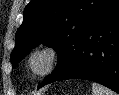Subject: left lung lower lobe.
I'll return each mask as SVG.
<instances>
[{"label":"left lung lower lobe","mask_w":119,"mask_h":95,"mask_svg":"<svg viewBox=\"0 0 119 95\" xmlns=\"http://www.w3.org/2000/svg\"><path fill=\"white\" fill-rule=\"evenodd\" d=\"M67 79L94 81L119 93V0H115L81 37L70 68L45 84Z\"/></svg>","instance_id":"obj_1"}]
</instances>
